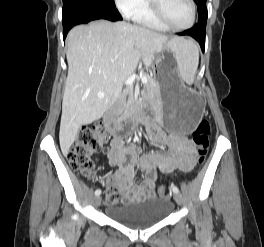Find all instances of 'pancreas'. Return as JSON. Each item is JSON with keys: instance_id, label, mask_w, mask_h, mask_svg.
Instances as JSON below:
<instances>
[{"instance_id": "1", "label": "pancreas", "mask_w": 264, "mask_h": 247, "mask_svg": "<svg viewBox=\"0 0 264 247\" xmlns=\"http://www.w3.org/2000/svg\"><path fill=\"white\" fill-rule=\"evenodd\" d=\"M143 76H146L148 79V82L144 85V88L149 97V100L151 102H155L156 99L160 97V89L158 82L155 78L151 77L146 73H144ZM135 102L136 99L133 92V88L129 87L126 91L123 92L118 101V115L121 120H124L130 116L131 112L135 108Z\"/></svg>"}]
</instances>
